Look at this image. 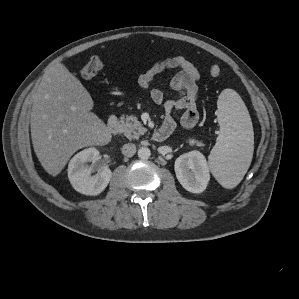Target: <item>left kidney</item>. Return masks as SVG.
Returning <instances> with one entry per match:
<instances>
[{
	"label": "left kidney",
	"instance_id": "left-kidney-1",
	"mask_svg": "<svg viewBox=\"0 0 299 299\" xmlns=\"http://www.w3.org/2000/svg\"><path fill=\"white\" fill-rule=\"evenodd\" d=\"M176 177L189 192H203L210 180L209 167L204 155L191 151L179 156L174 165Z\"/></svg>",
	"mask_w": 299,
	"mask_h": 299
}]
</instances>
